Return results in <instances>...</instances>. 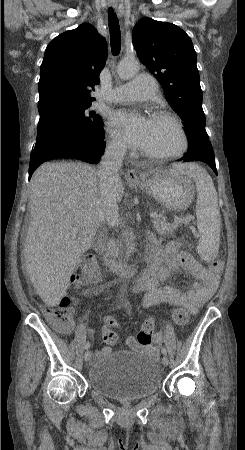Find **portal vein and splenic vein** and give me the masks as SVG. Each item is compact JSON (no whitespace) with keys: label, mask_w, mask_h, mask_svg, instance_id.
I'll return each instance as SVG.
<instances>
[{"label":"portal vein and splenic vein","mask_w":245,"mask_h":450,"mask_svg":"<svg viewBox=\"0 0 245 450\" xmlns=\"http://www.w3.org/2000/svg\"><path fill=\"white\" fill-rule=\"evenodd\" d=\"M150 216H151V218L156 219L158 217V214L156 212H151ZM78 232H79V228H72L70 230V233L72 235H76V234H78Z\"/></svg>","instance_id":"obj_1"}]
</instances>
